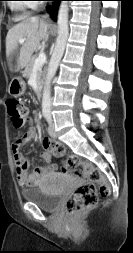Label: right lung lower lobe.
<instances>
[{
    "instance_id": "1",
    "label": "right lung lower lobe",
    "mask_w": 133,
    "mask_h": 253,
    "mask_svg": "<svg viewBox=\"0 0 133 253\" xmlns=\"http://www.w3.org/2000/svg\"><path fill=\"white\" fill-rule=\"evenodd\" d=\"M50 1H55L54 6L49 9V12H50L51 18L54 19V20H56L57 10H58V6H59V2L61 0H50Z\"/></svg>"
}]
</instances>
